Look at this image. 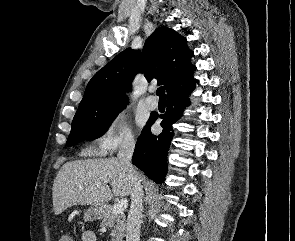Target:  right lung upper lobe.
Wrapping results in <instances>:
<instances>
[{
	"label": "right lung upper lobe",
	"instance_id": "cb5924a9",
	"mask_svg": "<svg viewBox=\"0 0 295 241\" xmlns=\"http://www.w3.org/2000/svg\"><path fill=\"white\" fill-rule=\"evenodd\" d=\"M193 51L187 40L168 27L157 28L146 40L142 53L130 48L119 53L89 81L78 108L112 101H128L135 74L140 72L148 81L155 78L164 84L167 94L194 82L191 64Z\"/></svg>",
	"mask_w": 295,
	"mask_h": 241
}]
</instances>
